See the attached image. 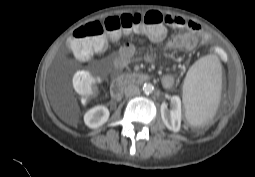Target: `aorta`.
Listing matches in <instances>:
<instances>
[{"label": "aorta", "mask_w": 255, "mask_h": 177, "mask_svg": "<svg viewBox=\"0 0 255 177\" xmlns=\"http://www.w3.org/2000/svg\"><path fill=\"white\" fill-rule=\"evenodd\" d=\"M142 89L145 94H151L154 91V86L151 83H145Z\"/></svg>", "instance_id": "obj_1"}]
</instances>
